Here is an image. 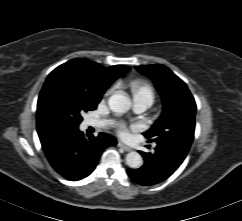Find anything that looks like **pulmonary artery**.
<instances>
[{
	"mask_svg": "<svg viewBox=\"0 0 242 221\" xmlns=\"http://www.w3.org/2000/svg\"><path fill=\"white\" fill-rule=\"evenodd\" d=\"M151 101L146 98H133L135 112H143L151 106ZM112 123L111 120H90L89 124L93 127H106Z\"/></svg>",
	"mask_w": 242,
	"mask_h": 221,
	"instance_id": "e3ab8cb5",
	"label": "pulmonary artery"
}]
</instances>
